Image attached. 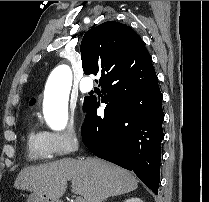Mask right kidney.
I'll return each mask as SVG.
<instances>
[{"mask_svg": "<svg viewBox=\"0 0 209 202\" xmlns=\"http://www.w3.org/2000/svg\"><path fill=\"white\" fill-rule=\"evenodd\" d=\"M124 202H143V201L140 198H138V197H132L130 199H127Z\"/></svg>", "mask_w": 209, "mask_h": 202, "instance_id": "obj_1", "label": "right kidney"}]
</instances>
